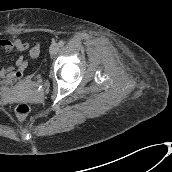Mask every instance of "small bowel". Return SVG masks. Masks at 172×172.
Listing matches in <instances>:
<instances>
[{
  "mask_svg": "<svg viewBox=\"0 0 172 172\" xmlns=\"http://www.w3.org/2000/svg\"><path fill=\"white\" fill-rule=\"evenodd\" d=\"M27 50L32 58H36L39 56L41 49L39 44H35L29 48L28 43L21 39H0V51H15L19 55L14 66L3 67L0 69V80L3 84H12L23 75L28 64L23 53Z\"/></svg>",
  "mask_w": 172,
  "mask_h": 172,
  "instance_id": "obj_1",
  "label": "small bowel"
}]
</instances>
